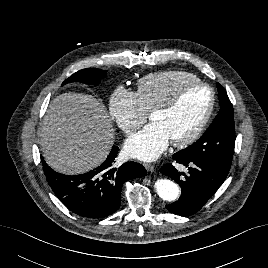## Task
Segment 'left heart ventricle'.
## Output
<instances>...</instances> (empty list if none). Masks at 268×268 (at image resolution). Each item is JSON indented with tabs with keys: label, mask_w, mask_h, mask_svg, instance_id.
Returning a JSON list of instances; mask_svg holds the SVG:
<instances>
[{
	"label": "left heart ventricle",
	"mask_w": 268,
	"mask_h": 268,
	"mask_svg": "<svg viewBox=\"0 0 268 268\" xmlns=\"http://www.w3.org/2000/svg\"><path fill=\"white\" fill-rule=\"evenodd\" d=\"M210 101V92L203 87L183 92L177 105L164 114L151 116L164 129L170 141L180 140L192 132L201 120Z\"/></svg>",
	"instance_id": "1"
}]
</instances>
